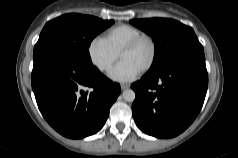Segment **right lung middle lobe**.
<instances>
[{
  "mask_svg": "<svg viewBox=\"0 0 238 158\" xmlns=\"http://www.w3.org/2000/svg\"><path fill=\"white\" fill-rule=\"evenodd\" d=\"M113 20L81 14H66L49 21L34 47L33 57L44 50H58L74 60L92 65L88 48L93 38L110 27Z\"/></svg>",
  "mask_w": 238,
  "mask_h": 158,
  "instance_id": "right-lung-middle-lobe-1",
  "label": "right lung middle lobe"
}]
</instances>
